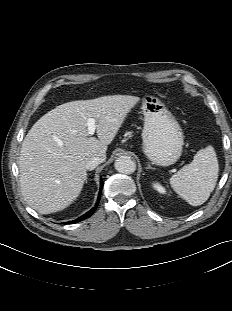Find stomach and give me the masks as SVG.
Instances as JSON below:
<instances>
[{"instance_id":"stomach-1","label":"stomach","mask_w":232,"mask_h":311,"mask_svg":"<svg viewBox=\"0 0 232 311\" xmlns=\"http://www.w3.org/2000/svg\"><path fill=\"white\" fill-rule=\"evenodd\" d=\"M144 127L143 152L156 165L174 164L182 154L184 136L179 123L165 105L154 96L142 99Z\"/></svg>"}]
</instances>
